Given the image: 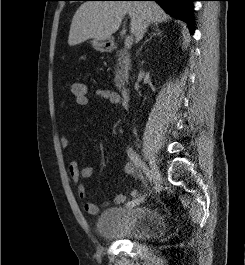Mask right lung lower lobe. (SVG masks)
<instances>
[{
  "label": "right lung lower lobe",
  "mask_w": 245,
  "mask_h": 265,
  "mask_svg": "<svg viewBox=\"0 0 245 265\" xmlns=\"http://www.w3.org/2000/svg\"><path fill=\"white\" fill-rule=\"evenodd\" d=\"M104 1V0H103ZM119 1H156L167 13L187 23L191 34L194 33L193 1L196 0H119Z\"/></svg>",
  "instance_id": "1"
}]
</instances>
